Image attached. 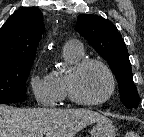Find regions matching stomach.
Returning <instances> with one entry per match:
<instances>
[{"label": "stomach", "instance_id": "stomach-1", "mask_svg": "<svg viewBox=\"0 0 144 137\" xmlns=\"http://www.w3.org/2000/svg\"><path fill=\"white\" fill-rule=\"evenodd\" d=\"M91 137H116V129L108 118L96 121L91 130Z\"/></svg>", "mask_w": 144, "mask_h": 137}]
</instances>
